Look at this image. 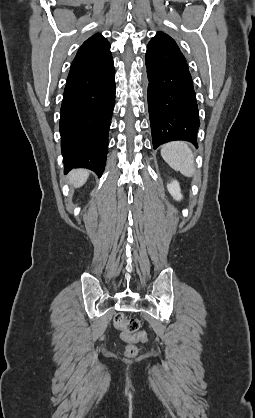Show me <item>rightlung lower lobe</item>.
<instances>
[{
	"mask_svg": "<svg viewBox=\"0 0 255 418\" xmlns=\"http://www.w3.org/2000/svg\"><path fill=\"white\" fill-rule=\"evenodd\" d=\"M115 90L112 56L71 67L59 123L65 172L81 167L103 173Z\"/></svg>",
	"mask_w": 255,
	"mask_h": 418,
	"instance_id": "1",
	"label": "right lung lower lobe"
}]
</instances>
